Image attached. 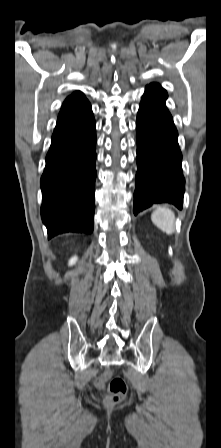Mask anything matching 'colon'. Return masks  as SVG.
<instances>
[{
  "mask_svg": "<svg viewBox=\"0 0 221 448\" xmlns=\"http://www.w3.org/2000/svg\"><path fill=\"white\" fill-rule=\"evenodd\" d=\"M99 388H106L108 396L105 399L107 405H114L119 403L125 396L127 386L123 378L113 376L111 370L105 371L97 380Z\"/></svg>",
  "mask_w": 221,
  "mask_h": 448,
  "instance_id": "1",
  "label": "colon"
}]
</instances>
